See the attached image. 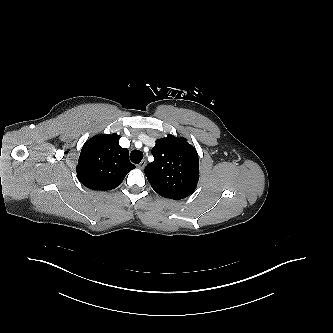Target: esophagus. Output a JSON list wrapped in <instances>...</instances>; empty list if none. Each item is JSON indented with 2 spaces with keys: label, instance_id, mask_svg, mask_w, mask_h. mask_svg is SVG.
<instances>
[{
  "label": "esophagus",
  "instance_id": "obj_1",
  "mask_svg": "<svg viewBox=\"0 0 333 333\" xmlns=\"http://www.w3.org/2000/svg\"><path fill=\"white\" fill-rule=\"evenodd\" d=\"M145 166H146V161H145V160H142V161L137 165V167H138L139 169H144Z\"/></svg>",
  "mask_w": 333,
  "mask_h": 333
}]
</instances>
